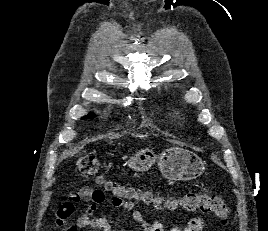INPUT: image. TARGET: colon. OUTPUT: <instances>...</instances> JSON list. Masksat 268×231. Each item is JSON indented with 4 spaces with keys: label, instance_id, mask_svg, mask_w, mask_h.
Wrapping results in <instances>:
<instances>
[{
    "label": "colon",
    "instance_id": "1",
    "mask_svg": "<svg viewBox=\"0 0 268 231\" xmlns=\"http://www.w3.org/2000/svg\"><path fill=\"white\" fill-rule=\"evenodd\" d=\"M76 168L85 177H93L98 183L103 184L112 195L113 202L122 207L141 202L152 205L156 209L176 210L183 208L187 212L211 213L220 218L224 223L228 221L229 210L225 202L218 196L197 192H187L180 198H154L148 192L133 188H125L105 181L100 169L99 160L93 155H83L76 160ZM85 192H82L84 194Z\"/></svg>",
    "mask_w": 268,
    "mask_h": 231
}]
</instances>
